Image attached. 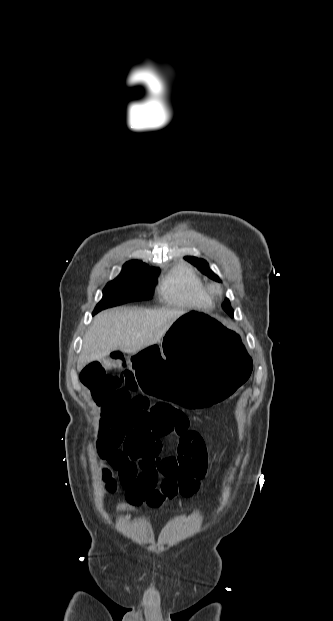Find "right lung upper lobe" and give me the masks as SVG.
<instances>
[{"instance_id": "obj_1", "label": "right lung upper lobe", "mask_w": 333, "mask_h": 621, "mask_svg": "<svg viewBox=\"0 0 333 621\" xmlns=\"http://www.w3.org/2000/svg\"><path fill=\"white\" fill-rule=\"evenodd\" d=\"M125 264H127V265H138V266H143V267H149L147 264H145V263H143V262H141V261H138V260H131V261L126 262ZM151 268H155V267H151Z\"/></svg>"}]
</instances>
